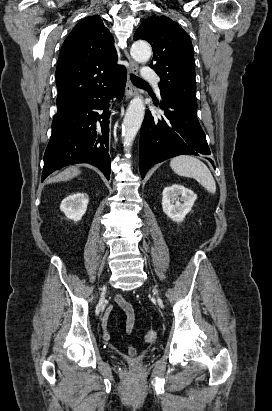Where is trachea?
<instances>
[{
  "label": "trachea",
  "mask_w": 272,
  "mask_h": 411,
  "mask_svg": "<svg viewBox=\"0 0 272 411\" xmlns=\"http://www.w3.org/2000/svg\"><path fill=\"white\" fill-rule=\"evenodd\" d=\"M131 81L133 84L137 85V84H146V81H144L143 79L137 77L136 75H131L130 77Z\"/></svg>",
  "instance_id": "trachea-1"
}]
</instances>
